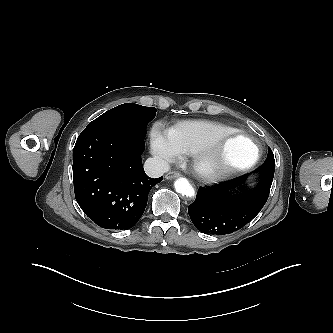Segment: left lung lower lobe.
Instances as JSON below:
<instances>
[{"label":"left lung lower lobe","mask_w":333,"mask_h":333,"mask_svg":"<svg viewBox=\"0 0 333 333\" xmlns=\"http://www.w3.org/2000/svg\"><path fill=\"white\" fill-rule=\"evenodd\" d=\"M274 169L260 166L256 171L261 173V180L256 189L243 196L233 197L230 191L241 186L249 174L199 188L195 201L188 207L194 226L204 234L213 235L228 234L245 226L265 205Z\"/></svg>","instance_id":"left-lung-lower-lobe-1"}]
</instances>
